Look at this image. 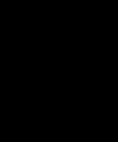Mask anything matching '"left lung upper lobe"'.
<instances>
[{
	"label": "left lung upper lobe",
	"instance_id": "left-lung-upper-lobe-1",
	"mask_svg": "<svg viewBox=\"0 0 118 142\" xmlns=\"http://www.w3.org/2000/svg\"><path fill=\"white\" fill-rule=\"evenodd\" d=\"M68 61L80 95L74 112L95 128L105 129L118 117V70L91 52L74 53Z\"/></svg>",
	"mask_w": 118,
	"mask_h": 142
}]
</instances>
